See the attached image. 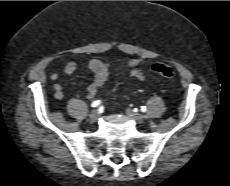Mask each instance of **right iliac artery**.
Returning a JSON list of instances; mask_svg holds the SVG:
<instances>
[{
  "label": "right iliac artery",
  "instance_id": "1",
  "mask_svg": "<svg viewBox=\"0 0 230 186\" xmlns=\"http://www.w3.org/2000/svg\"><path fill=\"white\" fill-rule=\"evenodd\" d=\"M101 104V101L100 100H96V101H94L92 104H91V106L92 107H97V106H99Z\"/></svg>",
  "mask_w": 230,
  "mask_h": 186
}]
</instances>
